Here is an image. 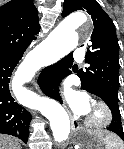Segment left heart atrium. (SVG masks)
<instances>
[{"label":"left heart atrium","instance_id":"left-heart-atrium-1","mask_svg":"<svg viewBox=\"0 0 124 149\" xmlns=\"http://www.w3.org/2000/svg\"><path fill=\"white\" fill-rule=\"evenodd\" d=\"M62 92L75 113L79 115H87L90 113L91 105L86 94L74 91L68 83L63 84Z\"/></svg>","mask_w":124,"mask_h":149}]
</instances>
